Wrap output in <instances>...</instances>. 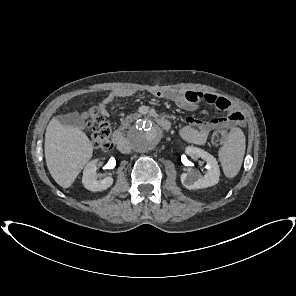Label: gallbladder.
<instances>
[{
  "mask_svg": "<svg viewBox=\"0 0 296 296\" xmlns=\"http://www.w3.org/2000/svg\"><path fill=\"white\" fill-rule=\"evenodd\" d=\"M57 120L64 126L82 127L83 120L78 113H68L57 116Z\"/></svg>",
  "mask_w": 296,
  "mask_h": 296,
  "instance_id": "obj_1",
  "label": "gallbladder"
}]
</instances>
